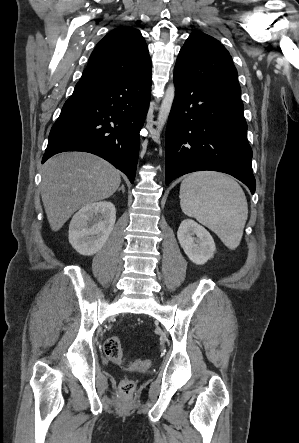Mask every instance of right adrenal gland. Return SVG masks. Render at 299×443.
<instances>
[{
  "mask_svg": "<svg viewBox=\"0 0 299 443\" xmlns=\"http://www.w3.org/2000/svg\"><path fill=\"white\" fill-rule=\"evenodd\" d=\"M120 190H122V192L125 193L124 185H122V186L118 189V191H120Z\"/></svg>",
  "mask_w": 299,
  "mask_h": 443,
  "instance_id": "2a0ac1e0",
  "label": "right adrenal gland"
}]
</instances>
